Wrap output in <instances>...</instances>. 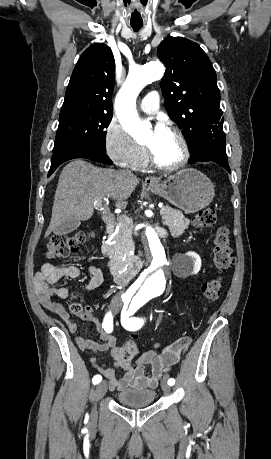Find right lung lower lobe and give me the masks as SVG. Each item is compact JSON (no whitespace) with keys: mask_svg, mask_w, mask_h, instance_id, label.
Instances as JSON below:
<instances>
[{"mask_svg":"<svg viewBox=\"0 0 271 459\" xmlns=\"http://www.w3.org/2000/svg\"><path fill=\"white\" fill-rule=\"evenodd\" d=\"M75 158H86L96 162L112 164V161L106 155L105 149L86 145H75L53 153L48 177L57 169L59 165L65 161Z\"/></svg>","mask_w":271,"mask_h":459,"instance_id":"1","label":"right lung lower lobe"}]
</instances>
